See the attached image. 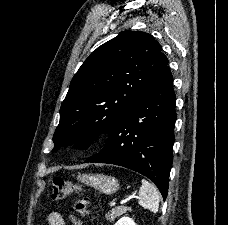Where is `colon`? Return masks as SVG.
Here are the masks:
<instances>
[{"label":"colon","instance_id":"1","mask_svg":"<svg viewBox=\"0 0 228 225\" xmlns=\"http://www.w3.org/2000/svg\"><path fill=\"white\" fill-rule=\"evenodd\" d=\"M85 192V189L76 183L64 178L55 177L51 181L50 201L66 199L74 194ZM71 214L89 217L91 212L86 206V201L77 200L70 207Z\"/></svg>","mask_w":228,"mask_h":225}]
</instances>
